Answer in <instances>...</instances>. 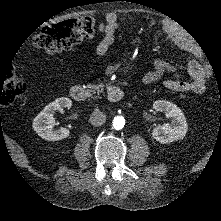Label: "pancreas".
<instances>
[{
  "label": "pancreas",
  "instance_id": "1",
  "mask_svg": "<svg viewBox=\"0 0 221 221\" xmlns=\"http://www.w3.org/2000/svg\"><path fill=\"white\" fill-rule=\"evenodd\" d=\"M85 88H89L90 95L101 92L100 87L97 84H90V86L86 85Z\"/></svg>",
  "mask_w": 221,
  "mask_h": 221
}]
</instances>
